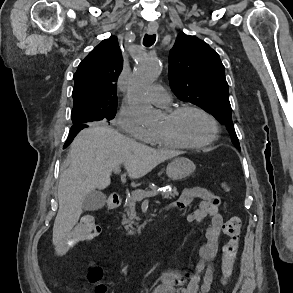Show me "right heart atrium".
Wrapping results in <instances>:
<instances>
[{
  "label": "right heart atrium",
  "mask_w": 293,
  "mask_h": 293,
  "mask_svg": "<svg viewBox=\"0 0 293 293\" xmlns=\"http://www.w3.org/2000/svg\"><path fill=\"white\" fill-rule=\"evenodd\" d=\"M115 125L119 130L143 142H150L154 136L151 131L144 127L137 118L125 108L121 109L117 114Z\"/></svg>",
  "instance_id": "obj_1"
}]
</instances>
